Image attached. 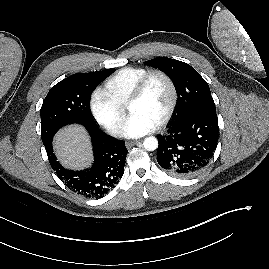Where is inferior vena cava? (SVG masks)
Listing matches in <instances>:
<instances>
[{
  "label": "inferior vena cava",
  "instance_id": "1",
  "mask_svg": "<svg viewBox=\"0 0 269 269\" xmlns=\"http://www.w3.org/2000/svg\"><path fill=\"white\" fill-rule=\"evenodd\" d=\"M122 130H118V134L120 135V136H122Z\"/></svg>",
  "mask_w": 269,
  "mask_h": 269
}]
</instances>
